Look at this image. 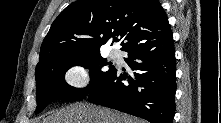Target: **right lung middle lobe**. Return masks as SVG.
Listing matches in <instances>:
<instances>
[{"label": "right lung middle lobe", "instance_id": "right-lung-middle-lobe-1", "mask_svg": "<svg viewBox=\"0 0 221 123\" xmlns=\"http://www.w3.org/2000/svg\"><path fill=\"white\" fill-rule=\"evenodd\" d=\"M75 65L90 69V83L86 88H74L64 80L66 71ZM109 66L107 70L105 66ZM115 67L101 57L100 51L66 56L49 61L36 67V100L35 113H40L48 103L56 99L80 100L85 98L89 91L105 80Z\"/></svg>", "mask_w": 221, "mask_h": 123}]
</instances>
